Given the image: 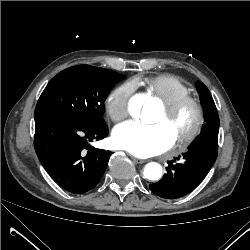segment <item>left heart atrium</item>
Segmentation results:
<instances>
[{
  "label": "left heart atrium",
  "mask_w": 250,
  "mask_h": 250,
  "mask_svg": "<svg viewBox=\"0 0 250 250\" xmlns=\"http://www.w3.org/2000/svg\"><path fill=\"white\" fill-rule=\"evenodd\" d=\"M174 137L162 124H142L126 121L116 126L112 134L114 147L138 157H149L167 151Z\"/></svg>",
  "instance_id": "left-heart-atrium-1"
}]
</instances>
